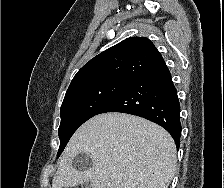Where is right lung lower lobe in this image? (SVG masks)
Masks as SVG:
<instances>
[{"label": "right lung lower lobe", "instance_id": "right-lung-lower-lobe-1", "mask_svg": "<svg viewBox=\"0 0 224 188\" xmlns=\"http://www.w3.org/2000/svg\"><path fill=\"white\" fill-rule=\"evenodd\" d=\"M121 112L137 115L165 128L180 146V104L165 62L157 63L133 81L97 114Z\"/></svg>", "mask_w": 224, "mask_h": 188}]
</instances>
